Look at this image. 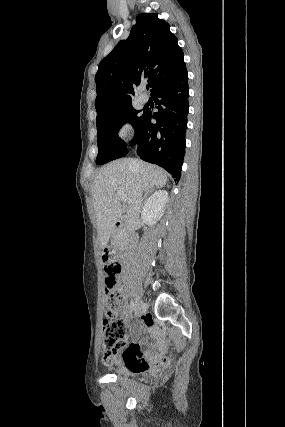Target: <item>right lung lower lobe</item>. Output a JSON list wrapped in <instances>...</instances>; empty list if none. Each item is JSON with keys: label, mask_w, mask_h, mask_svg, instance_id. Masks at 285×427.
Listing matches in <instances>:
<instances>
[{"label": "right lung lower lobe", "mask_w": 285, "mask_h": 427, "mask_svg": "<svg viewBox=\"0 0 285 427\" xmlns=\"http://www.w3.org/2000/svg\"><path fill=\"white\" fill-rule=\"evenodd\" d=\"M158 112H144L145 117L137 140L141 159L157 164L180 179L185 155V133L189 110L188 74L157 88L151 94ZM152 119L156 123L151 122Z\"/></svg>", "instance_id": "obj_1"}]
</instances>
